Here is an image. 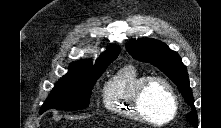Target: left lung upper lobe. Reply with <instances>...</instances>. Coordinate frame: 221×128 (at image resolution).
Listing matches in <instances>:
<instances>
[{
    "instance_id": "1",
    "label": "left lung upper lobe",
    "mask_w": 221,
    "mask_h": 128,
    "mask_svg": "<svg viewBox=\"0 0 221 128\" xmlns=\"http://www.w3.org/2000/svg\"><path fill=\"white\" fill-rule=\"evenodd\" d=\"M126 49L133 58L156 66L177 85L186 102L192 107V111L187 114L186 118L193 126L197 127L198 116L189 86L187 69L178 53L169 49L161 41L151 38H142L128 43Z\"/></svg>"
}]
</instances>
